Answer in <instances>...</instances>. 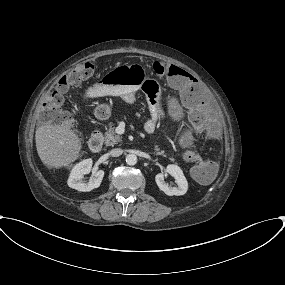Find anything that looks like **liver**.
<instances>
[{"mask_svg":"<svg viewBox=\"0 0 285 285\" xmlns=\"http://www.w3.org/2000/svg\"><path fill=\"white\" fill-rule=\"evenodd\" d=\"M35 140L38 156L49 168L67 167L80 157L81 140L68 122L40 126Z\"/></svg>","mask_w":285,"mask_h":285,"instance_id":"liver-1","label":"liver"}]
</instances>
